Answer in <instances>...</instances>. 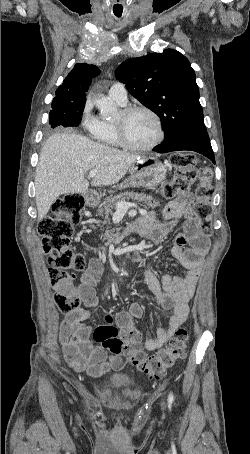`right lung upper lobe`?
<instances>
[{
	"label": "right lung upper lobe",
	"mask_w": 250,
	"mask_h": 454,
	"mask_svg": "<svg viewBox=\"0 0 250 454\" xmlns=\"http://www.w3.org/2000/svg\"><path fill=\"white\" fill-rule=\"evenodd\" d=\"M99 74L100 70L97 66L87 63H77L64 79L62 85L56 90V97L54 99H61L67 102L86 101V92L92 78Z\"/></svg>",
	"instance_id": "obj_1"
}]
</instances>
